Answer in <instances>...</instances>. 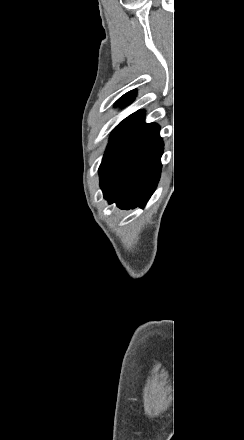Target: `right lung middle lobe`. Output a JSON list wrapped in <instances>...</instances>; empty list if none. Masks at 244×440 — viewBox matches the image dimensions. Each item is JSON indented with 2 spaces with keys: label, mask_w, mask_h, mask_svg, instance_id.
Segmentation results:
<instances>
[{
  "label": "right lung middle lobe",
  "mask_w": 244,
  "mask_h": 440,
  "mask_svg": "<svg viewBox=\"0 0 244 440\" xmlns=\"http://www.w3.org/2000/svg\"><path fill=\"white\" fill-rule=\"evenodd\" d=\"M132 100L133 99H127V98L119 99L117 102V105H127V104L131 103Z\"/></svg>",
  "instance_id": "obj_1"
}]
</instances>
